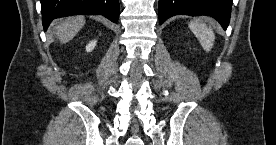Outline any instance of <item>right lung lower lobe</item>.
<instances>
[{
  "label": "right lung lower lobe",
  "instance_id": "1",
  "mask_svg": "<svg viewBox=\"0 0 276 145\" xmlns=\"http://www.w3.org/2000/svg\"><path fill=\"white\" fill-rule=\"evenodd\" d=\"M42 22L46 31L51 21L69 15H103L117 23L119 0H41Z\"/></svg>",
  "mask_w": 276,
  "mask_h": 145
}]
</instances>
